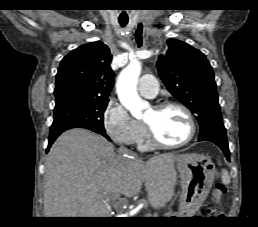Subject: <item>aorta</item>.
<instances>
[{"mask_svg": "<svg viewBox=\"0 0 258 227\" xmlns=\"http://www.w3.org/2000/svg\"><path fill=\"white\" fill-rule=\"evenodd\" d=\"M141 73V63L131 61L119 74L116 84L118 98L121 104L135 118H140L148 103L140 98L137 92L138 78Z\"/></svg>", "mask_w": 258, "mask_h": 227, "instance_id": "762f6f07", "label": "aorta"}]
</instances>
